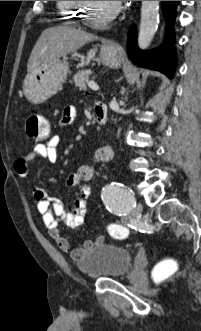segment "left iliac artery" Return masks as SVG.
Segmentation results:
<instances>
[{"mask_svg":"<svg viewBox=\"0 0 201 331\" xmlns=\"http://www.w3.org/2000/svg\"><path fill=\"white\" fill-rule=\"evenodd\" d=\"M102 200L110 213L121 217H127L136 206L133 191L117 182L103 188Z\"/></svg>","mask_w":201,"mask_h":331,"instance_id":"left-iliac-artery-1","label":"left iliac artery"}]
</instances>
